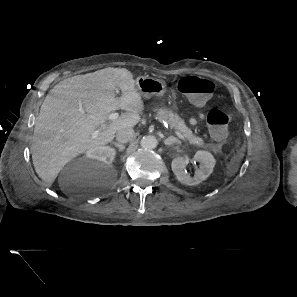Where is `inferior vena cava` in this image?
<instances>
[{"label":"inferior vena cava","instance_id":"obj_1","mask_svg":"<svg viewBox=\"0 0 297 297\" xmlns=\"http://www.w3.org/2000/svg\"><path fill=\"white\" fill-rule=\"evenodd\" d=\"M135 137H136V134L132 128L122 129L116 133V140L119 143H128L134 140Z\"/></svg>","mask_w":297,"mask_h":297}]
</instances>
